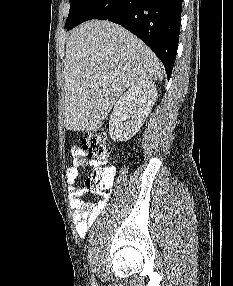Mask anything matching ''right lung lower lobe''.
Instances as JSON below:
<instances>
[{
  "label": "right lung lower lobe",
  "instance_id": "obj_1",
  "mask_svg": "<svg viewBox=\"0 0 233 286\" xmlns=\"http://www.w3.org/2000/svg\"><path fill=\"white\" fill-rule=\"evenodd\" d=\"M181 7L182 0H91L68 30L90 19L115 22L153 50L169 79L178 48Z\"/></svg>",
  "mask_w": 233,
  "mask_h": 286
}]
</instances>
